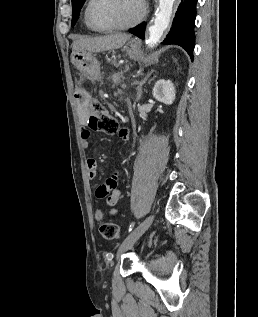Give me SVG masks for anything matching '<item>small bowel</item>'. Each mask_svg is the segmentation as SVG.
<instances>
[{
	"label": "small bowel",
	"mask_w": 258,
	"mask_h": 317,
	"mask_svg": "<svg viewBox=\"0 0 258 317\" xmlns=\"http://www.w3.org/2000/svg\"><path fill=\"white\" fill-rule=\"evenodd\" d=\"M120 136L123 139L128 137V132L125 128L120 130ZM81 143L83 148H88L90 146V131L88 129H83L81 131ZM86 170L89 179H94L97 175V162L93 158H88L86 160ZM111 194L109 195V193ZM95 195L97 198L106 199V205L110 208V214L115 215L117 213L116 206L121 196V191L118 187V175L114 173L110 176L104 184L99 185L96 188Z\"/></svg>",
	"instance_id": "1"
}]
</instances>
